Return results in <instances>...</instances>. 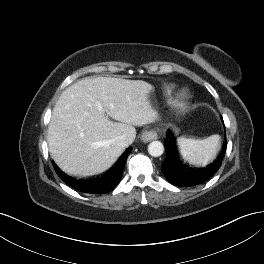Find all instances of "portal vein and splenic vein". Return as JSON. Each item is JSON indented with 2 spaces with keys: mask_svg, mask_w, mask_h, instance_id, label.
I'll use <instances>...</instances> for the list:
<instances>
[{
  "mask_svg": "<svg viewBox=\"0 0 264 264\" xmlns=\"http://www.w3.org/2000/svg\"><path fill=\"white\" fill-rule=\"evenodd\" d=\"M95 104H96L97 108L101 111L102 110V105L99 102H96Z\"/></svg>",
  "mask_w": 264,
  "mask_h": 264,
  "instance_id": "portal-vein-and-splenic-vein-1",
  "label": "portal vein and splenic vein"
}]
</instances>
